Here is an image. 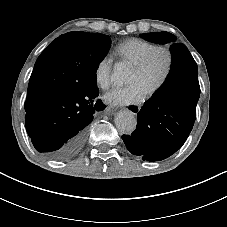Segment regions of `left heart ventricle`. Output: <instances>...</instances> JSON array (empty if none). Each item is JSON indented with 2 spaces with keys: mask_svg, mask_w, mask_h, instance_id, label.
I'll return each instance as SVG.
<instances>
[{
  "mask_svg": "<svg viewBox=\"0 0 227 227\" xmlns=\"http://www.w3.org/2000/svg\"><path fill=\"white\" fill-rule=\"evenodd\" d=\"M165 68V58L158 55L154 58L150 66L143 73H136L132 71L128 83L138 84L144 90L148 91L153 87L161 78Z\"/></svg>",
  "mask_w": 227,
  "mask_h": 227,
  "instance_id": "obj_1",
  "label": "left heart ventricle"
}]
</instances>
